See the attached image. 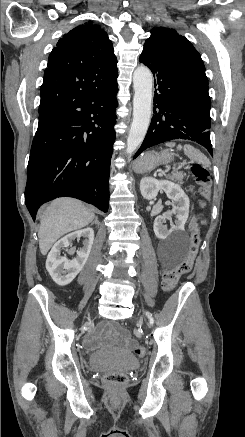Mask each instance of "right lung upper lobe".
Returning a JSON list of instances; mask_svg holds the SVG:
<instances>
[{"label":"right lung upper lobe","mask_w":245,"mask_h":437,"mask_svg":"<svg viewBox=\"0 0 245 437\" xmlns=\"http://www.w3.org/2000/svg\"><path fill=\"white\" fill-rule=\"evenodd\" d=\"M108 34L91 21L65 34L49 55L41 86L39 113L58 103L89 96L118 77Z\"/></svg>","instance_id":"right-lung-upper-lobe-1"}]
</instances>
